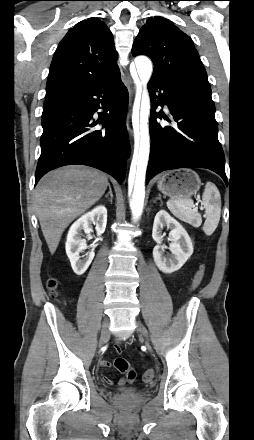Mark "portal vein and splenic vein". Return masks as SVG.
<instances>
[{
	"label": "portal vein and splenic vein",
	"mask_w": 254,
	"mask_h": 440,
	"mask_svg": "<svg viewBox=\"0 0 254 440\" xmlns=\"http://www.w3.org/2000/svg\"><path fill=\"white\" fill-rule=\"evenodd\" d=\"M200 209H202V208H200ZM195 211H197L198 210V207H195V209H194Z\"/></svg>",
	"instance_id": "1"
}]
</instances>
